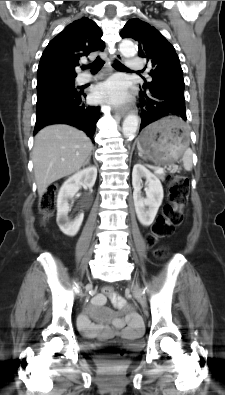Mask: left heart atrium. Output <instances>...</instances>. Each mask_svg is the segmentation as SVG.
Listing matches in <instances>:
<instances>
[{
    "mask_svg": "<svg viewBox=\"0 0 225 395\" xmlns=\"http://www.w3.org/2000/svg\"><path fill=\"white\" fill-rule=\"evenodd\" d=\"M127 98L126 84L120 78H112L100 85L94 92L96 101L108 100L119 104Z\"/></svg>",
    "mask_w": 225,
    "mask_h": 395,
    "instance_id": "obj_1",
    "label": "left heart atrium"
}]
</instances>
